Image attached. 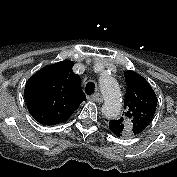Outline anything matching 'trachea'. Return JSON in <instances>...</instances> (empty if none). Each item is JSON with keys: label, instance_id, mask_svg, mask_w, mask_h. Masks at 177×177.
Returning a JSON list of instances; mask_svg holds the SVG:
<instances>
[{"label": "trachea", "instance_id": "3493384b", "mask_svg": "<svg viewBox=\"0 0 177 177\" xmlns=\"http://www.w3.org/2000/svg\"><path fill=\"white\" fill-rule=\"evenodd\" d=\"M95 90V84L93 82H88L85 87V92L88 95H91L94 93Z\"/></svg>", "mask_w": 177, "mask_h": 177}]
</instances>
